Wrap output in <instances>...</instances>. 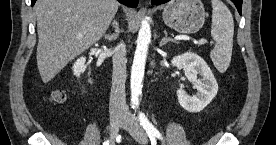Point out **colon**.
Returning a JSON list of instances; mask_svg holds the SVG:
<instances>
[{"label":"colon","instance_id":"1","mask_svg":"<svg viewBox=\"0 0 276 145\" xmlns=\"http://www.w3.org/2000/svg\"><path fill=\"white\" fill-rule=\"evenodd\" d=\"M65 93L61 90H57L51 94V101L53 103L60 104L65 100Z\"/></svg>","mask_w":276,"mask_h":145}]
</instances>
